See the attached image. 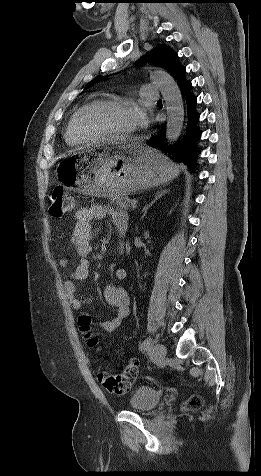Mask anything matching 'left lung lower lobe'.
Listing matches in <instances>:
<instances>
[{"label": "left lung lower lobe", "instance_id": "0a47b994", "mask_svg": "<svg viewBox=\"0 0 261 476\" xmlns=\"http://www.w3.org/2000/svg\"><path fill=\"white\" fill-rule=\"evenodd\" d=\"M184 74L185 68H183L175 78L179 84L184 98L186 99L188 108V123L184 140L180 144L172 146L168 145L165 135L166 128L164 127L148 141V145L155 149L164 151L170 157H175L177 161L185 163L188 167L194 170L195 158L196 154L198 153L196 142L199 139L201 132L196 126L199 119V114L194 109L196 97L191 92V82L185 78Z\"/></svg>", "mask_w": 261, "mask_h": 476}]
</instances>
